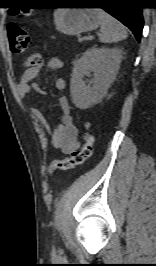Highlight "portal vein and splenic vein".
I'll list each match as a JSON object with an SVG mask.
<instances>
[{
  "label": "portal vein and splenic vein",
  "instance_id": "1",
  "mask_svg": "<svg viewBox=\"0 0 156 266\" xmlns=\"http://www.w3.org/2000/svg\"><path fill=\"white\" fill-rule=\"evenodd\" d=\"M84 40V38H79L78 41L79 42H82Z\"/></svg>",
  "mask_w": 156,
  "mask_h": 266
}]
</instances>
